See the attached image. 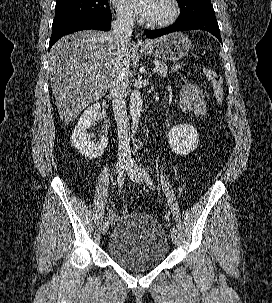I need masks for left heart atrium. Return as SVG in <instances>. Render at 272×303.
Wrapping results in <instances>:
<instances>
[{"label": "left heart atrium", "instance_id": "1", "mask_svg": "<svg viewBox=\"0 0 272 303\" xmlns=\"http://www.w3.org/2000/svg\"><path fill=\"white\" fill-rule=\"evenodd\" d=\"M127 8L139 19L149 20L154 0H125Z\"/></svg>", "mask_w": 272, "mask_h": 303}]
</instances>
